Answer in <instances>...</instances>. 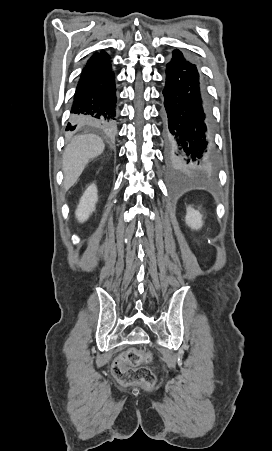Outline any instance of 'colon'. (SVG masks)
I'll use <instances>...</instances> for the list:
<instances>
[{
    "instance_id": "colon-1",
    "label": "colon",
    "mask_w": 272,
    "mask_h": 451,
    "mask_svg": "<svg viewBox=\"0 0 272 451\" xmlns=\"http://www.w3.org/2000/svg\"><path fill=\"white\" fill-rule=\"evenodd\" d=\"M151 350L130 351L125 358H116L114 373L123 384H143L153 389L156 386L155 376L150 370ZM139 362L140 365H134Z\"/></svg>"
}]
</instances>
